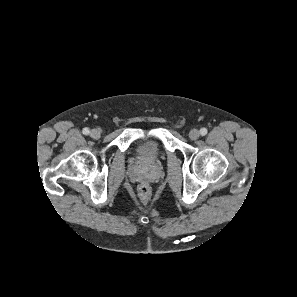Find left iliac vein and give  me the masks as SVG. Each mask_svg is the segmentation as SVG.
Instances as JSON below:
<instances>
[{
  "instance_id": "4c4485c4",
  "label": "left iliac vein",
  "mask_w": 297,
  "mask_h": 297,
  "mask_svg": "<svg viewBox=\"0 0 297 297\" xmlns=\"http://www.w3.org/2000/svg\"><path fill=\"white\" fill-rule=\"evenodd\" d=\"M200 136V133L197 129H192L190 132H189V137L192 139V140H196L198 139Z\"/></svg>"
}]
</instances>
